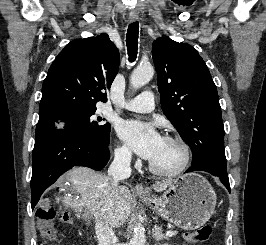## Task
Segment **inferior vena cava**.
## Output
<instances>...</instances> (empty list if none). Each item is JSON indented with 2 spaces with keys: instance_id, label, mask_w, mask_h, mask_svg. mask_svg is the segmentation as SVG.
Returning <instances> with one entry per match:
<instances>
[{
  "instance_id": "obj_1",
  "label": "inferior vena cava",
  "mask_w": 266,
  "mask_h": 245,
  "mask_svg": "<svg viewBox=\"0 0 266 245\" xmlns=\"http://www.w3.org/2000/svg\"><path fill=\"white\" fill-rule=\"evenodd\" d=\"M131 157L132 153H130V151H123L120 155H115L114 161L108 169L110 187H103L102 189L107 195H109V193L110 195H115V189L118 187L119 181L129 179L131 175ZM95 231L98 245H115L116 237L106 219H98V221H96Z\"/></svg>"
}]
</instances>
